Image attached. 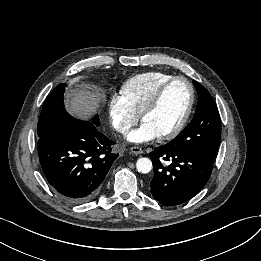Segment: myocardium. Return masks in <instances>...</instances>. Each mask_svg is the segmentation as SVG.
Segmentation results:
<instances>
[{
	"instance_id": "1",
	"label": "myocardium",
	"mask_w": 261,
	"mask_h": 261,
	"mask_svg": "<svg viewBox=\"0 0 261 261\" xmlns=\"http://www.w3.org/2000/svg\"><path fill=\"white\" fill-rule=\"evenodd\" d=\"M177 81H183L187 84V86L189 88V103H188L187 109H186L181 121L179 122V124L172 131H170V132H168L164 135L159 136L158 138L160 140H171V139L177 137L184 130L186 125L188 124L190 117L192 115V111H193V107H194V103H195V89H194L192 82L184 76H174V77H172L170 80L165 82L159 88V90L155 94L152 101L148 104V106L144 109V111L141 114V120H142V122H144L145 118L148 115H150L151 113H153L154 111H156L159 108L167 89L173 83H175Z\"/></svg>"
}]
</instances>
